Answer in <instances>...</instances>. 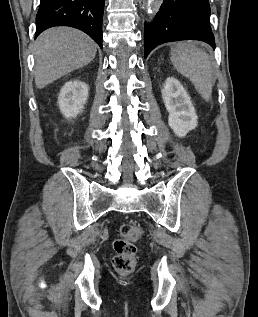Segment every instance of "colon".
Here are the masks:
<instances>
[{
  "label": "colon",
  "mask_w": 258,
  "mask_h": 317,
  "mask_svg": "<svg viewBox=\"0 0 258 317\" xmlns=\"http://www.w3.org/2000/svg\"><path fill=\"white\" fill-rule=\"evenodd\" d=\"M141 237V229L135 223H125L119 229L113 247V266L118 272H130L136 265V243Z\"/></svg>",
  "instance_id": "colon-1"
}]
</instances>
